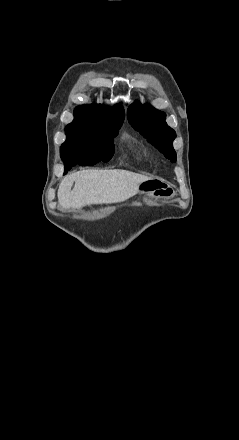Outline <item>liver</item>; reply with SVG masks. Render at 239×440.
Returning a JSON list of instances; mask_svg holds the SVG:
<instances>
[{"label": "liver", "mask_w": 239, "mask_h": 440, "mask_svg": "<svg viewBox=\"0 0 239 440\" xmlns=\"http://www.w3.org/2000/svg\"><path fill=\"white\" fill-rule=\"evenodd\" d=\"M147 180L151 178L127 170H82L63 178L57 198L62 208L76 210L90 204H117L135 196Z\"/></svg>", "instance_id": "liver-1"}]
</instances>
